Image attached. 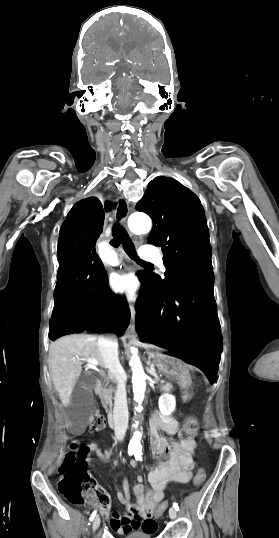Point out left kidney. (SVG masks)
<instances>
[{"instance_id":"5707ae66","label":"left kidney","mask_w":279,"mask_h":538,"mask_svg":"<svg viewBox=\"0 0 279 538\" xmlns=\"http://www.w3.org/2000/svg\"><path fill=\"white\" fill-rule=\"evenodd\" d=\"M158 406L163 416H170L176 408V400L171 394H163L159 398Z\"/></svg>"}]
</instances>
